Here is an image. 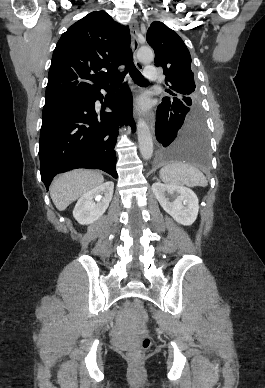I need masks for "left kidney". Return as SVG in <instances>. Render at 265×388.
I'll list each match as a JSON object with an SVG mask.
<instances>
[{
    "label": "left kidney",
    "mask_w": 265,
    "mask_h": 388,
    "mask_svg": "<svg viewBox=\"0 0 265 388\" xmlns=\"http://www.w3.org/2000/svg\"><path fill=\"white\" fill-rule=\"evenodd\" d=\"M152 192L163 210L170 214L178 224L191 226L198 216L199 202L190 188L169 186L156 182L152 184Z\"/></svg>",
    "instance_id": "left-kidney-1"
}]
</instances>
